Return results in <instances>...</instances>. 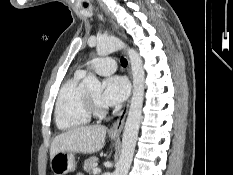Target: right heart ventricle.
<instances>
[{
  "instance_id": "1",
  "label": "right heart ventricle",
  "mask_w": 233,
  "mask_h": 175,
  "mask_svg": "<svg viewBox=\"0 0 233 175\" xmlns=\"http://www.w3.org/2000/svg\"><path fill=\"white\" fill-rule=\"evenodd\" d=\"M83 75L76 73L66 80L57 95L54 109L56 126L63 131L75 130L90 122L84 107V91L81 88Z\"/></svg>"
}]
</instances>
